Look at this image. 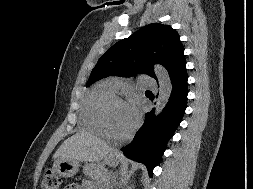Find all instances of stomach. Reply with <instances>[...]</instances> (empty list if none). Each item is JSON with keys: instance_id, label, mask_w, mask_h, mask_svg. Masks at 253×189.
I'll use <instances>...</instances> for the list:
<instances>
[{"instance_id": "stomach-1", "label": "stomach", "mask_w": 253, "mask_h": 189, "mask_svg": "<svg viewBox=\"0 0 253 189\" xmlns=\"http://www.w3.org/2000/svg\"><path fill=\"white\" fill-rule=\"evenodd\" d=\"M122 158L117 153H110L105 157V163L109 166H117ZM79 168L78 160L57 159L53 164L54 171L64 178L74 176Z\"/></svg>"}]
</instances>
